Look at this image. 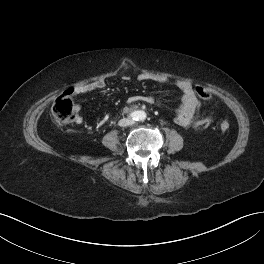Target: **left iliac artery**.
I'll return each instance as SVG.
<instances>
[{"label": "left iliac artery", "mask_w": 264, "mask_h": 264, "mask_svg": "<svg viewBox=\"0 0 264 264\" xmlns=\"http://www.w3.org/2000/svg\"><path fill=\"white\" fill-rule=\"evenodd\" d=\"M144 117H145V116H144V115H142L141 119H144Z\"/></svg>", "instance_id": "left-iliac-artery-1"}]
</instances>
